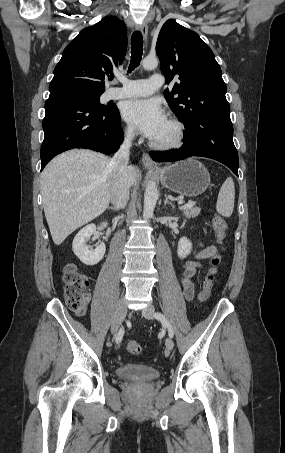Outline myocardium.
I'll list each match as a JSON object with an SVG mask.
<instances>
[{
    "mask_svg": "<svg viewBox=\"0 0 285 453\" xmlns=\"http://www.w3.org/2000/svg\"><path fill=\"white\" fill-rule=\"evenodd\" d=\"M167 121L174 127V136L164 142H158L152 140L150 145L158 150H173L181 147L184 144L186 138V128L184 123L175 116H169Z\"/></svg>",
    "mask_w": 285,
    "mask_h": 453,
    "instance_id": "f54148a6",
    "label": "myocardium"
}]
</instances>
